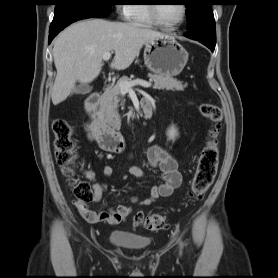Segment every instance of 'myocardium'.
<instances>
[{"instance_id":"1","label":"myocardium","mask_w":278,"mask_h":278,"mask_svg":"<svg viewBox=\"0 0 278 278\" xmlns=\"http://www.w3.org/2000/svg\"><path fill=\"white\" fill-rule=\"evenodd\" d=\"M156 7L157 6L154 4L148 5L150 19L154 23V25L159 26L164 29H169V30L176 29L184 22L186 15H187V6L185 4H181L182 13H181L180 19L173 24H165L158 18L157 12H156Z\"/></svg>"}]
</instances>
